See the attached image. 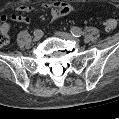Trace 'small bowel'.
<instances>
[{
  "label": "small bowel",
  "mask_w": 119,
  "mask_h": 119,
  "mask_svg": "<svg viewBox=\"0 0 119 119\" xmlns=\"http://www.w3.org/2000/svg\"><path fill=\"white\" fill-rule=\"evenodd\" d=\"M38 7L44 8L49 7L51 9V16L53 20H56L62 16H65L73 11V7L64 1H53L51 3H39ZM35 6L30 4H21L17 7V11L20 13H28L31 12ZM2 27L6 28L8 31L10 30V25L7 22V17L3 16L2 18ZM10 19L15 22L29 24L30 18L23 15H12Z\"/></svg>",
  "instance_id": "1"
}]
</instances>
